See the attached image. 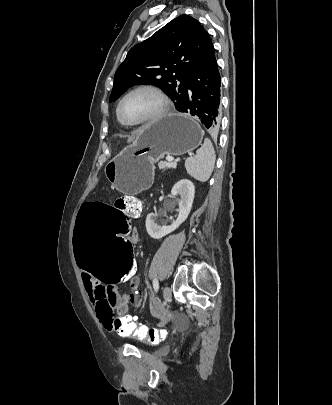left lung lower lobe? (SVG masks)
<instances>
[{"mask_svg":"<svg viewBox=\"0 0 332 405\" xmlns=\"http://www.w3.org/2000/svg\"><path fill=\"white\" fill-rule=\"evenodd\" d=\"M221 77L214 47L191 73L187 92L176 102V109L189 113L216 133L221 120Z\"/></svg>","mask_w":332,"mask_h":405,"instance_id":"0a47b994","label":"left lung lower lobe"}]
</instances>
